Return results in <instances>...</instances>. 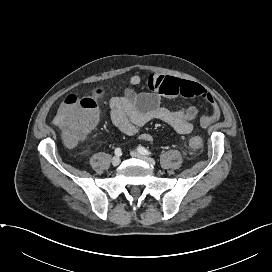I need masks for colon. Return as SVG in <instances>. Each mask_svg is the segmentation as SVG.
<instances>
[{
  "instance_id": "obj_1",
  "label": "colon",
  "mask_w": 272,
  "mask_h": 272,
  "mask_svg": "<svg viewBox=\"0 0 272 272\" xmlns=\"http://www.w3.org/2000/svg\"><path fill=\"white\" fill-rule=\"evenodd\" d=\"M97 119V103L93 96L70 94L62 103L56 117L55 124L61 129L67 143L74 144L82 140L94 126ZM200 136H193L189 146L193 150L202 147Z\"/></svg>"
}]
</instances>
